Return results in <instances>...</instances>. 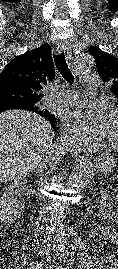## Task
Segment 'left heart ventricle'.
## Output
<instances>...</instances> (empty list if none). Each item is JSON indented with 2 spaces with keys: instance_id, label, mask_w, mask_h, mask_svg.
Instances as JSON below:
<instances>
[{
  "instance_id": "left-heart-ventricle-1",
  "label": "left heart ventricle",
  "mask_w": 118,
  "mask_h": 269,
  "mask_svg": "<svg viewBox=\"0 0 118 269\" xmlns=\"http://www.w3.org/2000/svg\"><path fill=\"white\" fill-rule=\"evenodd\" d=\"M103 138L107 142L118 143V112H111L107 131Z\"/></svg>"
}]
</instances>
